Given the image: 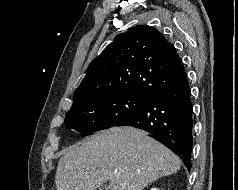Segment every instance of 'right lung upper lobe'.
<instances>
[{
  "instance_id": "cb5924a9",
  "label": "right lung upper lobe",
  "mask_w": 238,
  "mask_h": 190,
  "mask_svg": "<svg viewBox=\"0 0 238 190\" xmlns=\"http://www.w3.org/2000/svg\"><path fill=\"white\" fill-rule=\"evenodd\" d=\"M185 74L175 47L155 28L138 25L120 33L89 65L73 105L103 95L154 98Z\"/></svg>"
}]
</instances>
